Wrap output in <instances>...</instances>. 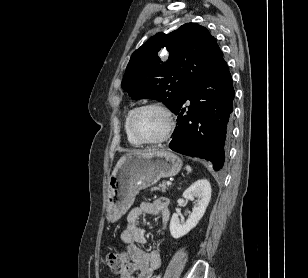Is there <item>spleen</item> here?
<instances>
[{"mask_svg": "<svg viewBox=\"0 0 308 278\" xmlns=\"http://www.w3.org/2000/svg\"><path fill=\"white\" fill-rule=\"evenodd\" d=\"M186 170L188 171V172H191L192 171V169H191V167L190 166H186Z\"/></svg>", "mask_w": 308, "mask_h": 278, "instance_id": "3e777b00", "label": "spleen"}]
</instances>
